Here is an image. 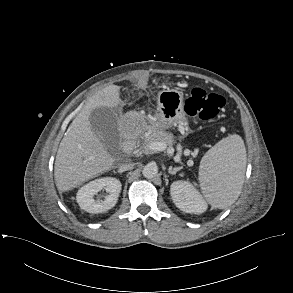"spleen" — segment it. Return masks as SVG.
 Returning a JSON list of instances; mask_svg holds the SVG:
<instances>
[{
	"label": "spleen",
	"mask_w": 293,
	"mask_h": 293,
	"mask_svg": "<svg viewBox=\"0 0 293 293\" xmlns=\"http://www.w3.org/2000/svg\"><path fill=\"white\" fill-rule=\"evenodd\" d=\"M246 160L244 141L237 134L220 140L203 156L199 182L213 207L224 209L237 200L244 183Z\"/></svg>",
	"instance_id": "obj_1"
}]
</instances>
